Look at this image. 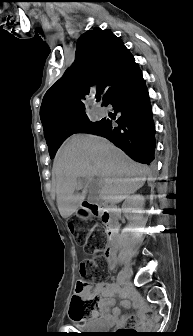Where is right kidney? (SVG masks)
Returning <instances> with one entry per match:
<instances>
[{
	"mask_svg": "<svg viewBox=\"0 0 193 336\" xmlns=\"http://www.w3.org/2000/svg\"><path fill=\"white\" fill-rule=\"evenodd\" d=\"M144 203H145L144 197L140 194H136L128 196L123 204V207L126 210L131 211L132 213H139L142 211Z\"/></svg>",
	"mask_w": 193,
	"mask_h": 336,
	"instance_id": "1",
	"label": "right kidney"
}]
</instances>
